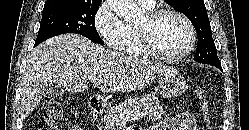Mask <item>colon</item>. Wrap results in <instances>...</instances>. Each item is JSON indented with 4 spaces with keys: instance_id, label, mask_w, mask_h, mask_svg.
I'll return each mask as SVG.
<instances>
[{
    "instance_id": "obj_1",
    "label": "colon",
    "mask_w": 249,
    "mask_h": 130,
    "mask_svg": "<svg viewBox=\"0 0 249 130\" xmlns=\"http://www.w3.org/2000/svg\"><path fill=\"white\" fill-rule=\"evenodd\" d=\"M203 121L207 130H213L210 117L209 98L202 87L195 90ZM64 119V98L56 96L46 101L42 107V114L39 122V130H59Z\"/></svg>"
}]
</instances>
